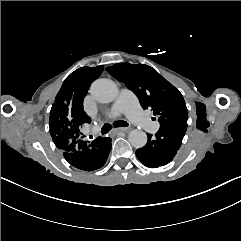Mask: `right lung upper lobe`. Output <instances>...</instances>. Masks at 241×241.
Segmentation results:
<instances>
[{
  "label": "right lung upper lobe",
  "mask_w": 241,
  "mask_h": 241,
  "mask_svg": "<svg viewBox=\"0 0 241 241\" xmlns=\"http://www.w3.org/2000/svg\"><path fill=\"white\" fill-rule=\"evenodd\" d=\"M93 69L92 77L81 78L74 71L64 81L50 111V134L61 152L70 151L83 139L82 127L91 120L83 110V100L93 77L98 78L103 66Z\"/></svg>",
  "instance_id": "right-lung-upper-lobe-1"
}]
</instances>
